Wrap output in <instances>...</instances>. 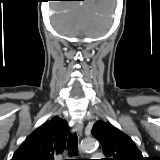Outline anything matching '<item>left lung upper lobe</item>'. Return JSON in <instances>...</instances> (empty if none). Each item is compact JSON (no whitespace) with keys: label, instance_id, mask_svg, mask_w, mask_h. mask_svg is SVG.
<instances>
[{"label":"left lung upper lobe","instance_id":"obj_1","mask_svg":"<svg viewBox=\"0 0 160 160\" xmlns=\"http://www.w3.org/2000/svg\"><path fill=\"white\" fill-rule=\"evenodd\" d=\"M92 134L102 145L103 160H145L133 140L109 122H96Z\"/></svg>","mask_w":160,"mask_h":160}]
</instances>
